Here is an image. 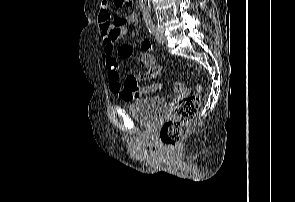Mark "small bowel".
I'll list each match as a JSON object with an SVG mask.
<instances>
[{
	"mask_svg": "<svg viewBox=\"0 0 295 202\" xmlns=\"http://www.w3.org/2000/svg\"><path fill=\"white\" fill-rule=\"evenodd\" d=\"M137 16L134 13L125 18L113 17L109 0H101L98 16V26L102 39V47L106 56L107 77L110 90L125 101L136 100L156 90H143V86H138V90H125L120 83L119 60H127L132 55V48L129 45L122 44L115 49L116 42L124 37H133L134 32L131 26L135 25ZM144 50L151 49L150 41H144L139 44ZM142 56V55H141ZM134 79L146 81L157 79V74L150 75H131ZM180 98H190L189 89H182ZM170 107H179V98H174L170 102Z\"/></svg>",
	"mask_w": 295,
	"mask_h": 202,
	"instance_id": "1",
	"label": "small bowel"
}]
</instances>
